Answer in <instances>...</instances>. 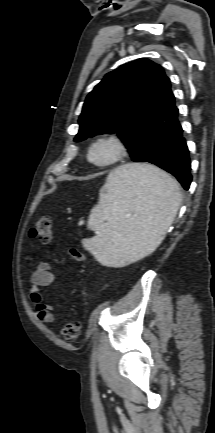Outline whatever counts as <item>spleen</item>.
<instances>
[{
    "label": "spleen",
    "mask_w": 215,
    "mask_h": 433,
    "mask_svg": "<svg viewBox=\"0 0 215 433\" xmlns=\"http://www.w3.org/2000/svg\"><path fill=\"white\" fill-rule=\"evenodd\" d=\"M182 195L178 183L149 164H126L111 171L91 210L88 228L96 236L83 247L102 264L124 266L160 245Z\"/></svg>",
    "instance_id": "1"
}]
</instances>
